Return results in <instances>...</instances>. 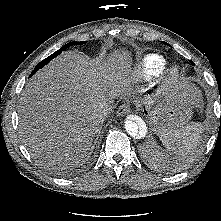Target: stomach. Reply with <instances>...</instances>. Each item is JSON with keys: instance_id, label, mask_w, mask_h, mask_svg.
<instances>
[{"instance_id": "1", "label": "stomach", "mask_w": 221, "mask_h": 221, "mask_svg": "<svg viewBox=\"0 0 221 221\" xmlns=\"http://www.w3.org/2000/svg\"><path fill=\"white\" fill-rule=\"evenodd\" d=\"M192 102L183 96V89L175 91L151 113L152 126L161 136L183 127L192 113Z\"/></svg>"}]
</instances>
